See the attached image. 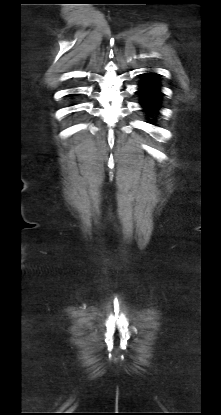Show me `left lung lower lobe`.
Here are the masks:
<instances>
[{
	"label": "left lung lower lobe",
	"instance_id": "1",
	"mask_svg": "<svg viewBox=\"0 0 221 415\" xmlns=\"http://www.w3.org/2000/svg\"><path fill=\"white\" fill-rule=\"evenodd\" d=\"M158 77L159 75L154 72L144 73L138 89L143 111L151 117L157 115L161 108L162 92Z\"/></svg>",
	"mask_w": 221,
	"mask_h": 415
}]
</instances>
